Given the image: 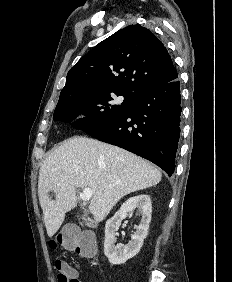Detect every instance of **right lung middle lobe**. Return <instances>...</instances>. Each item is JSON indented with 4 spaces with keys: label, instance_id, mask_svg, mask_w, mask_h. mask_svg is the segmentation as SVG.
<instances>
[{
    "label": "right lung middle lobe",
    "instance_id": "dd1d6c3e",
    "mask_svg": "<svg viewBox=\"0 0 232 282\" xmlns=\"http://www.w3.org/2000/svg\"><path fill=\"white\" fill-rule=\"evenodd\" d=\"M114 95L123 96L124 101L121 104L116 103L112 98ZM135 99V94L121 90L77 94L58 101L53 119L70 122L82 113L85 117L76 120L73 126L86 132L128 112Z\"/></svg>",
    "mask_w": 232,
    "mask_h": 282
}]
</instances>
